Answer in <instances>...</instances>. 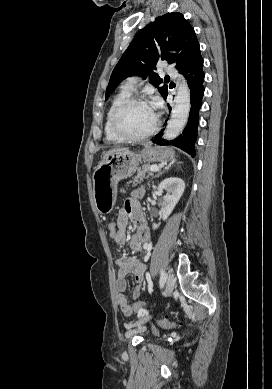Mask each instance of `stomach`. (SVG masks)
I'll return each mask as SVG.
<instances>
[{
  "label": "stomach",
  "mask_w": 272,
  "mask_h": 389,
  "mask_svg": "<svg viewBox=\"0 0 272 389\" xmlns=\"http://www.w3.org/2000/svg\"><path fill=\"white\" fill-rule=\"evenodd\" d=\"M174 156V150L170 147L145 145L137 153L125 150L107 157L93 173V197L97 211L100 214H108L113 210L118 182L130 177L137 170L140 160L167 162Z\"/></svg>",
  "instance_id": "1"
}]
</instances>
